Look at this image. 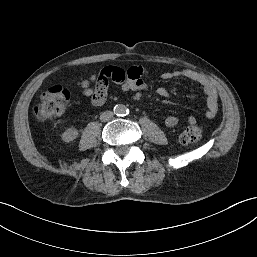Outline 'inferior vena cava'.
Returning a JSON list of instances; mask_svg holds the SVG:
<instances>
[{"instance_id": "602c4592", "label": "inferior vena cava", "mask_w": 257, "mask_h": 257, "mask_svg": "<svg viewBox=\"0 0 257 257\" xmlns=\"http://www.w3.org/2000/svg\"><path fill=\"white\" fill-rule=\"evenodd\" d=\"M113 112L112 111H105L100 115V120L102 122H106L109 121L113 118Z\"/></svg>"}]
</instances>
